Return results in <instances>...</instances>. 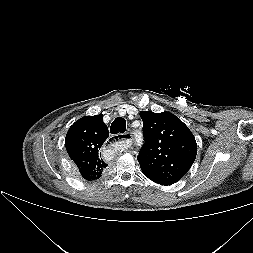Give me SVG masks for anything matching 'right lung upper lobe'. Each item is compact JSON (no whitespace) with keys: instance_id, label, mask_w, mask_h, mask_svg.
Segmentation results:
<instances>
[{"instance_id":"1","label":"right lung upper lobe","mask_w":253,"mask_h":253,"mask_svg":"<svg viewBox=\"0 0 253 253\" xmlns=\"http://www.w3.org/2000/svg\"><path fill=\"white\" fill-rule=\"evenodd\" d=\"M108 136L109 131L103 122L102 114L82 117L67 132V153L87 181L99 179L108 166L99 153Z\"/></svg>"}]
</instances>
